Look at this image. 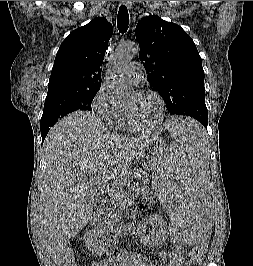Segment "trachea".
Returning a JSON list of instances; mask_svg holds the SVG:
<instances>
[{
  "label": "trachea",
  "instance_id": "3493384b",
  "mask_svg": "<svg viewBox=\"0 0 253 266\" xmlns=\"http://www.w3.org/2000/svg\"><path fill=\"white\" fill-rule=\"evenodd\" d=\"M128 25H129V14L127 7L125 5H121L117 17V27L119 29V32L125 33L128 30Z\"/></svg>",
  "mask_w": 253,
  "mask_h": 266
}]
</instances>
